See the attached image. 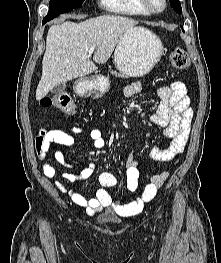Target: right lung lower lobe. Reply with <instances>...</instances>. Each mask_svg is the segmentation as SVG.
<instances>
[{"instance_id": "98d812e1", "label": "right lung lower lobe", "mask_w": 221, "mask_h": 263, "mask_svg": "<svg viewBox=\"0 0 221 263\" xmlns=\"http://www.w3.org/2000/svg\"><path fill=\"white\" fill-rule=\"evenodd\" d=\"M47 21L43 20V23L42 24H45Z\"/></svg>"}]
</instances>
